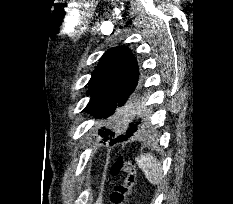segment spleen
Returning a JSON list of instances; mask_svg holds the SVG:
<instances>
[{
  "mask_svg": "<svg viewBox=\"0 0 233 204\" xmlns=\"http://www.w3.org/2000/svg\"><path fill=\"white\" fill-rule=\"evenodd\" d=\"M135 160L146 179L153 185L159 184L163 177V171L157 158L151 153H144Z\"/></svg>",
  "mask_w": 233,
  "mask_h": 204,
  "instance_id": "obj_1",
  "label": "spleen"
}]
</instances>
